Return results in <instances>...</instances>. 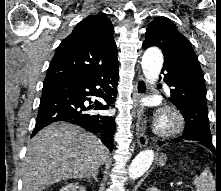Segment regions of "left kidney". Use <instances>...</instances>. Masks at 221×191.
<instances>
[{
  "mask_svg": "<svg viewBox=\"0 0 221 191\" xmlns=\"http://www.w3.org/2000/svg\"><path fill=\"white\" fill-rule=\"evenodd\" d=\"M146 191H160V190L155 187H150Z\"/></svg>",
  "mask_w": 221,
  "mask_h": 191,
  "instance_id": "1",
  "label": "left kidney"
}]
</instances>
